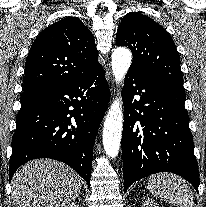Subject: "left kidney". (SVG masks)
Instances as JSON below:
<instances>
[{"label":"left kidney","mask_w":206,"mask_h":207,"mask_svg":"<svg viewBox=\"0 0 206 207\" xmlns=\"http://www.w3.org/2000/svg\"><path fill=\"white\" fill-rule=\"evenodd\" d=\"M142 207H159L158 204L151 198L145 199Z\"/></svg>","instance_id":"1"}]
</instances>
